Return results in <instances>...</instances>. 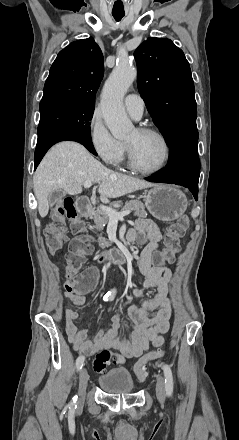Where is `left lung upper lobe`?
I'll list each match as a JSON object with an SVG mask.
<instances>
[{"label":"left lung upper lobe","mask_w":239,"mask_h":440,"mask_svg":"<svg viewBox=\"0 0 239 440\" xmlns=\"http://www.w3.org/2000/svg\"><path fill=\"white\" fill-rule=\"evenodd\" d=\"M138 89L168 145L197 131V106L191 69L170 39L150 37L134 53Z\"/></svg>","instance_id":"left-lung-upper-lobe-1"}]
</instances>
